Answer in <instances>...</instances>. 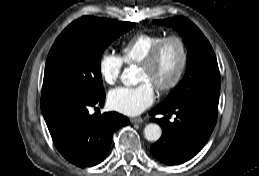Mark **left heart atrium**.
I'll list each match as a JSON object with an SVG mask.
<instances>
[{
    "label": "left heart atrium",
    "instance_id": "left-heart-atrium-1",
    "mask_svg": "<svg viewBox=\"0 0 259 176\" xmlns=\"http://www.w3.org/2000/svg\"><path fill=\"white\" fill-rule=\"evenodd\" d=\"M155 100L154 87L142 82L132 87H118L108 94L109 106L122 114L134 116L143 112Z\"/></svg>",
    "mask_w": 259,
    "mask_h": 176
}]
</instances>
